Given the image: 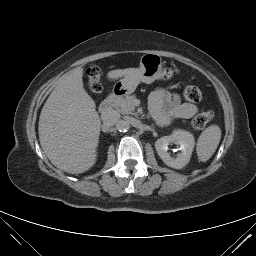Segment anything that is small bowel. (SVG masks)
Instances as JSON below:
<instances>
[{"label": "small bowel", "mask_w": 256, "mask_h": 256, "mask_svg": "<svg viewBox=\"0 0 256 256\" xmlns=\"http://www.w3.org/2000/svg\"><path fill=\"white\" fill-rule=\"evenodd\" d=\"M149 110L156 123L167 125L175 118L193 117L198 112V107L192 103L183 102L176 93L158 88L150 95Z\"/></svg>", "instance_id": "1"}]
</instances>
